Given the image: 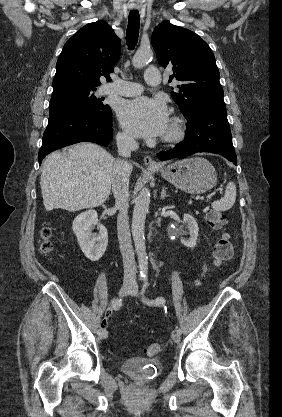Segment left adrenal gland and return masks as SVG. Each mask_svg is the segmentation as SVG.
<instances>
[{"mask_svg":"<svg viewBox=\"0 0 282 417\" xmlns=\"http://www.w3.org/2000/svg\"><path fill=\"white\" fill-rule=\"evenodd\" d=\"M166 188H167V186H162V190H161L162 200H163V198H165V196H169V194H166Z\"/></svg>","mask_w":282,"mask_h":417,"instance_id":"1","label":"left adrenal gland"}]
</instances>
